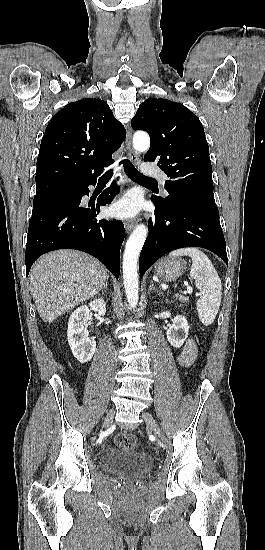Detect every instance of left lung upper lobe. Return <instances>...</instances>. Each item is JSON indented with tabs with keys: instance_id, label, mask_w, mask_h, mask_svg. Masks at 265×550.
<instances>
[{
	"instance_id": "obj_1",
	"label": "left lung upper lobe",
	"mask_w": 265,
	"mask_h": 550,
	"mask_svg": "<svg viewBox=\"0 0 265 550\" xmlns=\"http://www.w3.org/2000/svg\"><path fill=\"white\" fill-rule=\"evenodd\" d=\"M134 130L149 133L151 145L144 161H157L170 180L167 198L152 196L159 204L191 202L218 212L213 194L209 147L202 123L184 105L163 98H148L131 121Z\"/></svg>"
}]
</instances>
